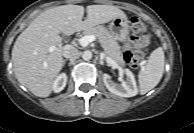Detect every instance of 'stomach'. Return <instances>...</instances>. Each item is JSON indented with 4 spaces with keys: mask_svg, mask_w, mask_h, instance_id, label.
<instances>
[{
    "mask_svg": "<svg viewBox=\"0 0 194 133\" xmlns=\"http://www.w3.org/2000/svg\"><path fill=\"white\" fill-rule=\"evenodd\" d=\"M109 33L117 40L123 41L129 34V24L126 17L113 19L108 26Z\"/></svg>",
    "mask_w": 194,
    "mask_h": 133,
    "instance_id": "0dacf381",
    "label": "stomach"
}]
</instances>
